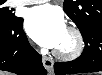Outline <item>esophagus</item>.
I'll return each mask as SVG.
<instances>
[{"instance_id":"obj_1","label":"esophagus","mask_w":102,"mask_h":75,"mask_svg":"<svg viewBox=\"0 0 102 75\" xmlns=\"http://www.w3.org/2000/svg\"><path fill=\"white\" fill-rule=\"evenodd\" d=\"M43 65L47 69V71L52 72L54 61L52 59L44 56L43 57Z\"/></svg>"}]
</instances>
